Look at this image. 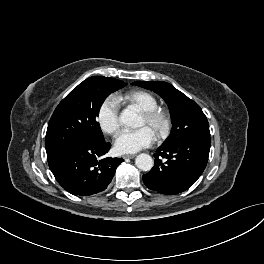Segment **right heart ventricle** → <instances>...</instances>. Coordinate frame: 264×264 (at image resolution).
<instances>
[{"label": "right heart ventricle", "mask_w": 264, "mask_h": 264, "mask_svg": "<svg viewBox=\"0 0 264 264\" xmlns=\"http://www.w3.org/2000/svg\"><path fill=\"white\" fill-rule=\"evenodd\" d=\"M120 100L130 103L142 112L158 107L156 97L145 90H132L119 97Z\"/></svg>", "instance_id": "right-heart-ventricle-1"}]
</instances>
